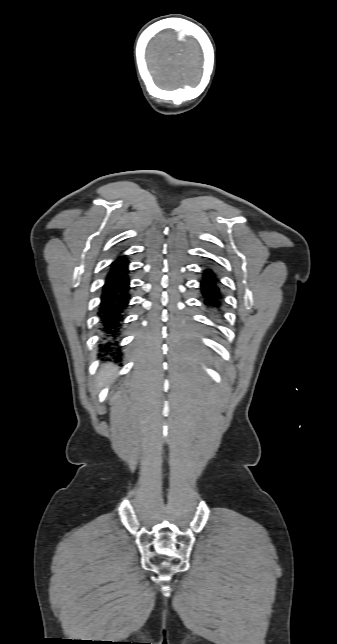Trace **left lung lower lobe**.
I'll return each mask as SVG.
<instances>
[{
	"label": "left lung lower lobe",
	"instance_id": "left-lung-lower-lobe-1",
	"mask_svg": "<svg viewBox=\"0 0 337 644\" xmlns=\"http://www.w3.org/2000/svg\"><path fill=\"white\" fill-rule=\"evenodd\" d=\"M201 274L202 279L200 280L199 289L202 295V302L211 314L219 316L222 314L224 303L220 279L211 267H206Z\"/></svg>",
	"mask_w": 337,
	"mask_h": 644
}]
</instances>
